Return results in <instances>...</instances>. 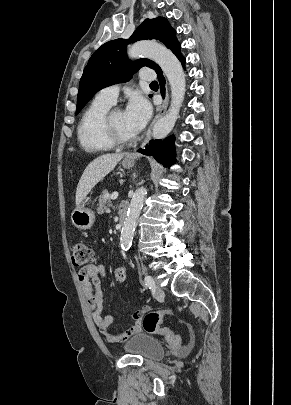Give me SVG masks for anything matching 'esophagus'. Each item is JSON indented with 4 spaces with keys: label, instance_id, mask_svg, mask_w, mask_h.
Here are the masks:
<instances>
[{
    "label": "esophagus",
    "instance_id": "1",
    "mask_svg": "<svg viewBox=\"0 0 291 405\" xmlns=\"http://www.w3.org/2000/svg\"><path fill=\"white\" fill-rule=\"evenodd\" d=\"M167 106H168V97H165L162 106L160 107L157 115L155 116V118L153 119V121L151 122V124L147 130L143 145H146L149 142V140L151 138L152 128H153L154 124L156 123V121L165 113Z\"/></svg>",
    "mask_w": 291,
    "mask_h": 405
}]
</instances>
